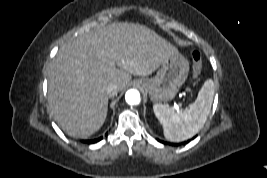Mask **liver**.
I'll return each instance as SVG.
<instances>
[{"label": "liver", "instance_id": "1", "mask_svg": "<svg viewBox=\"0 0 267 178\" xmlns=\"http://www.w3.org/2000/svg\"><path fill=\"white\" fill-rule=\"evenodd\" d=\"M177 49L146 26L112 23L60 47L48 73V103L68 135L87 138L105 122L106 86L122 91L131 75L152 74Z\"/></svg>", "mask_w": 267, "mask_h": 178}]
</instances>
